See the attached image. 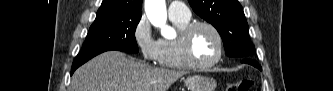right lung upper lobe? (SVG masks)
Returning <instances> with one entry per match:
<instances>
[{
	"mask_svg": "<svg viewBox=\"0 0 333 91\" xmlns=\"http://www.w3.org/2000/svg\"><path fill=\"white\" fill-rule=\"evenodd\" d=\"M142 0H103L96 18L142 15Z\"/></svg>",
	"mask_w": 333,
	"mask_h": 91,
	"instance_id": "1",
	"label": "right lung upper lobe"
}]
</instances>
